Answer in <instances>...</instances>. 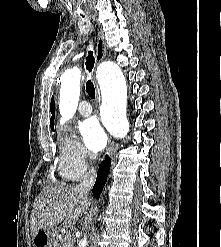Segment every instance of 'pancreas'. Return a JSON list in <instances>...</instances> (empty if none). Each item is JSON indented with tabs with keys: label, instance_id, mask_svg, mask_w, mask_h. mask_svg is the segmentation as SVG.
Here are the masks:
<instances>
[{
	"label": "pancreas",
	"instance_id": "1",
	"mask_svg": "<svg viewBox=\"0 0 221 247\" xmlns=\"http://www.w3.org/2000/svg\"><path fill=\"white\" fill-rule=\"evenodd\" d=\"M53 247H71V241L68 237L58 238V233L54 234Z\"/></svg>",
	"mask_w": 221,
	"mask_h": 247
}]
</instances>
